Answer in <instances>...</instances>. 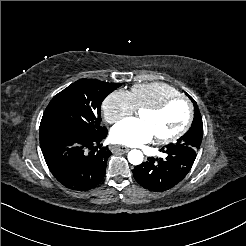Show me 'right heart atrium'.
<instances>
[{
    "label": "right heart atrium",
    "instance_id": "d8ad5b80",
    "mask_svg": "<svg viewBox=\"0 0 246 246\" xmlns=\"http://www.w3.org/2000/svg\"><path fill=\"white\" fill-rule=\"evenodd\" d=\"M134 110L131 94L122 89L112 91L102 104L104 118L110 124L131 116Z\"/></svg>",
    "mask_w": 246,
    "mask_h": 246
}]
</instances>
